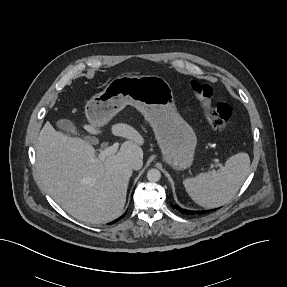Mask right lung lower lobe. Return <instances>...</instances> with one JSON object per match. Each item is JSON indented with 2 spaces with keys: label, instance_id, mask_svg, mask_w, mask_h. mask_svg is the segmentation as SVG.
Wrapping results in <instances>:
<instances>
[{
  "label": "right lung lower lobe",
  "instance_id": "right-lung-lower-lobe-1",
  "mask_svg": "<svg viewBox=\"0 0 287 287\" xmlns=\"http://www.w3.org/2000/svg\"><path fill=\"white\" fill-rule=\"evenodd\" d=\"M121 218H122V217H120V219H121ZM118 220H119V219H117L116 221H118ZM116 221H114V222H116ZM114 222H113V223H114Z\"/></svg>",
  "mask_w": 287,
  "mask_h": 287
}]
</instances>
